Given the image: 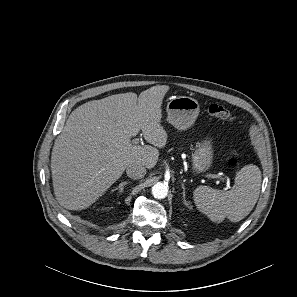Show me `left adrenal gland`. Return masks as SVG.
Segmentation results:
<instances>
[{
  "label": "left adrenal gland",
  "instance_id": "left-adrenal-gland-1",
  "mask_svg": "<svg viewBox=\"0 0 297 297\" xmlns=\"http://www.w3.org/2000/svg\"><path fill=\"white\" fill-rule=\"evenodd\" d=\"M181 186H182V189H183V192H182V194H183V203L187 206V207H189V202H187L186 201V189H185V186H184V184L183 183H181Z\"/></svg>",
  "mask_w": 297,
  "mask_h": 297
}]
</instances>
